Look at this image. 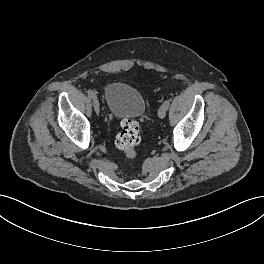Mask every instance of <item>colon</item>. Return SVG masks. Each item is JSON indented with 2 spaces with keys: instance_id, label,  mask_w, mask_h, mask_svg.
Instances as JSON below:
<instances>
[{
  "instance_id": "1",
  "label": "colon",
  "mask_w": 264,
  "mask_h": 264,
  "mask_svg": "<svg viewBox=\"0 0 264 264\" xmlns=\"http://www.w3.org/2000/svg\"><path fill=\"white\" fill-rule=\"evenodd\" d=\"M141 132L139 123L128 118L121 122V130L115 139L116 146L122 150L128 159L136 157V147L140 143Z\"/></svg>"
}]
</instances>
